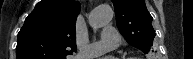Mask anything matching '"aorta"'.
<instances>
[{"instance_id":"1","label":"aorta","mask_w":193,"mask_h":59,"mask_svg":"<svg viewBox=\"0 0 193 59\" xmlns=\"http://www.w3.org/2000/svg\"><path fill=\"white\" fill-rule=\"evenodd\" d=\"M114 12L109 5H101L94 8L89 15V24L97 29L108 24L113 18Z\"/></svg>"}]
</instances>
